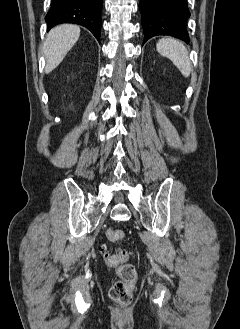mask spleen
<instances>
[{
	"instance_id": "obj_1",
	"label": "spleen",
	"mask_w": 240,
	"mask_h": 329,
	"mask_svg": "<svg viewBox=\"0 0 240 329\" xmlns=\"http://www.w3.org/2000/svg\"><path fill=\"white\" fill-rule=\"evenodd\" d=\"M157 51L169 58L184 77L191 73V63L186 47L173 38H162L156 44Z\"/></svg>"
}]
</instances>
